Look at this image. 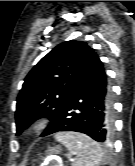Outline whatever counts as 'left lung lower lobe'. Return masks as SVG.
Wrapping results in <instances>:
<instances>
[{
  "label": "left lung lower lobe",
  "instance_id": "left-lung-lower-lobe-1",
  "mask_svg": "<svg viewBox=\"0 0 135 166\" xmlns=\"http://www.w3.org/2000/svg\"><path fill=\"white\" fill-rule=\"evenodd\" d=\"M30 124L24 125L18 135ZM59 131L81 132L102 143L110 140L113 131L112 93L97 55L92 57L80 75L67 106L42 136Z\"/></svg>",
  "mask_w": 135,
  "mask_h": 166
}]
</instances>
